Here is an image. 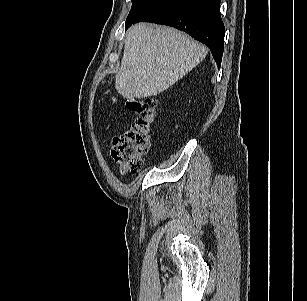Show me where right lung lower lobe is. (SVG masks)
Here are the masks:
<instances>
[{"label": "right lung lower lobe", "instance_id": "1", "mask_svg": "<svg viewBox=\"0 0 307 301\" xmlns=\"http://www.w3.org/2000/svg\"><path fill=\"white\" fill-rule=\"evenodd\" d=\"M165 24L183 30L206 44L220 67L225 27L220 16V0H165L133 23Z\"/></svg>", "mask_w": 307, "mask_h": 301}]
</instances>
